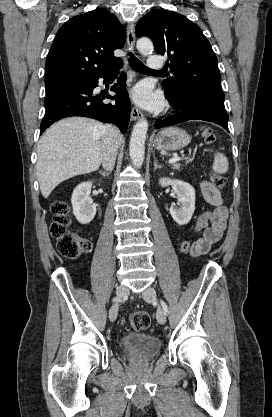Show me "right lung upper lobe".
<instances>
[{"label": "right lung upper lobe", "instance_id": "cb5924a9", "mask_svg": "<svg viewBox=\"0 0 272 417\" xmlns=\"http://www.w3.org/2000/svg\"><path fill=\"white\" fill-rule=\"evenodd\" d=\"M125 29L105 9L74 16L58 30L46 60L45 87L58 88L103 74L120 63Z\"/></svg>", "mask_w": 272, "mask_h": 417}]
</instances>
